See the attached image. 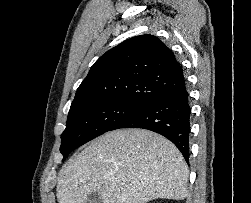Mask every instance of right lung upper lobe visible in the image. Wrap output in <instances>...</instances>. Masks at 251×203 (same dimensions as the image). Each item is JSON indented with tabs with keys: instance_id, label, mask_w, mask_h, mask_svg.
<instances>
[{
	"instance_id": "obj_1",
	"label": "right lung upper lobe",
	"mask_w": 251,
	"mask_h": 203,
	"mask_svg": "<svg viewBox=\"0 0 251 203\" xmlns=\"http://www.w3.org/2000/svg\"><path fill=\"white\" fill-rule=\"evenodd\" d=\"M173 52L150 34L135 36L107 51L91 67L72 105L130 102L145 105L184 82Z\"/></svg>"
}]
</instances>
